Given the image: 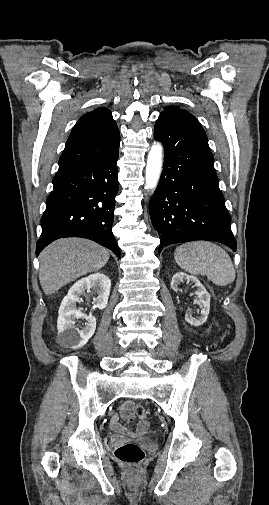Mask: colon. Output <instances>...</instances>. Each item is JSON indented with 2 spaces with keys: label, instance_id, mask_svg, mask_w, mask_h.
Wrapping results in <instances>:
<instances>
[{
  "label": "colon",
  "instance_id": "5ec220e1",
  "mask_svg": "<svg viewBox=\"0 0 269 505\" xmlns=\"http://www.w3.org/2000/svg\"><path fill=\"white\" fill-rule=\"evenodd\" d=\"M134 413L139 418H143L145 415L144 408L141 405L135 406ZM115 456L125 464L137 465L143 460L144 451L135 443H124L116 448Z\"/></svg>",
  "mask_w": 269,
  "mask_h": 505
}]
</instances>
